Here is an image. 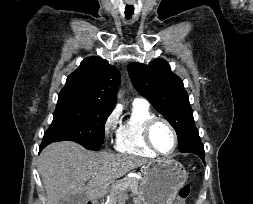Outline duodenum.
Masks as SVG:
<instances>
[{"instance_id": "obj_1", "label": "duodenum", "mask_w": 253, "mask_h": 204, "mask_svg": "<svg viewBox=\"0 0 253 204\" xmlns=\"http://www.w3.org/2000/svg\"><path fill=\"white\" fill-rule=\"evenodd\" d=\"M88 204H98L96 199H91Z\"/></svg>"}]
</instances>
